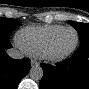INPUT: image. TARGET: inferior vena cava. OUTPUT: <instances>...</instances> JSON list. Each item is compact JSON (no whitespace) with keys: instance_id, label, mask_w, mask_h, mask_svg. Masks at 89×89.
Returning <instances> with one entry per match:
<instances>
[{"instance_id":"obj_1","label":"inferior vena cava","mask_w":89,"mask_h":89,"mask_svg":"<svg viewBox=\"0 0 89 89\" xmlns=\"http://www.w3.org/2000/svg\"><path fill=\"white\" fill-rule=\"evenodd\" d=\"M7 54L13 59H22L24 57L23 53L15 48L8 49Z\"/></svg>"}]
</instances>
